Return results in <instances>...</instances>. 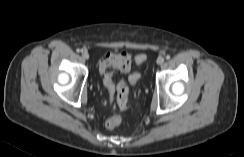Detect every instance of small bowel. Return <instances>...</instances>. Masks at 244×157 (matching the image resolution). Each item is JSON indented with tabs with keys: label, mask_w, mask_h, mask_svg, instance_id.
<instances>
[{
	"label": "small bowel",
	"mask_w": 244,
	"mask_h": 157,
	"mask_svg": "<svg viewBox=\"0 0 244 157\" xmlns=\"http://www.w3.org/2000/svg\"><path fill=\"white\" fill-rule=\"evenodd\" d=\"M132 62L133 56L128 52H108L99 62V71L103 75L106 68L114 67L121 73H128Z\"/></svg>",
	"instance_id": "1"
}]
</instances>
